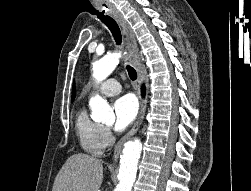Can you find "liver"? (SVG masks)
<instances>
[{
    "instance_id": "6515ba94",
    "label": "liver",
    "mask_w": 251,
    "mask_h": 191,
    "mask_svg": "<svg viewBox=\"0 0 251 191\" xmlns=\"http://www.w3.org/2000/svg\"><path fill=\"white\" fill-rule=\"evenodd\" d=\"M102 179V159L87 153H74L58 171L52 191H98Z\"/></svg>"
}]
</instances>
